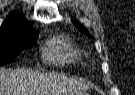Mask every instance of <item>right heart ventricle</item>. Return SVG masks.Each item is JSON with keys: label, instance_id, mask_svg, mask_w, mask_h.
Wrapping results in <instances>:
<instances>
[{"label": "right heart ventricle", "instance_id": "right-heart-ventricle-1", "mask_svg": "<svg viewBox=\"0 0 135 95\" xmlns=\"http://www.w3.org/2000/svg\"><path fill=\"white\" fill-rule=\"evenodd\" d=\"M79 56V49L63 34L48 40L43 47L44 59L52 64L75 62L79 59Z\"/></svg>", "mask_w": 135, "mask_h": 95}]
</instances>
